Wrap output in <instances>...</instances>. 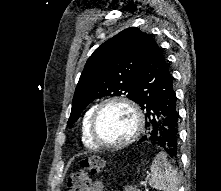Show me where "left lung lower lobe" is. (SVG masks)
I'll list each match as a JSON object with an SVG mask.
<instances>
[{"mask_svg":"<svg viewBox=\"0 0 221 191\" xmlns=\"http://www.w3.org/2000/svg\"><path fill=\"white\" fill-rule=\"evenodd\" d=\"M136 95V103L145 111L147 128L140 142L148 141L176 159L179 115L173 77L160 47L153 39L148 44L138 76Z\"/></svg>","mask_w":221,"mask_h":191,"instance_id":"1","label":"left lung lower lobe"}]
</instances>
